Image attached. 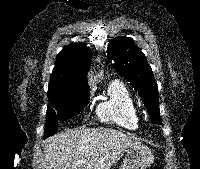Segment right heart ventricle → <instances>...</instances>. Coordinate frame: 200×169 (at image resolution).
Instances as JSON below:
<instances>
[{"instance_id": "e07e8e85", "label": "right heart ventricle", "mask_w": 200, "mask_h": 169, "mask_svg": "<svg viewBox=\"0 0 200 169\" xmlns=\"http://www.w3.org/2000/svg\"><path fill=\"white\" fill-rule=\"evenodd\" d=\"M96 113L102 122L126 130H137L140 126L136 101L128 87L119 79L112 80L107 85L106 96L98 105Z\"/></svg>"}]
</instances>
